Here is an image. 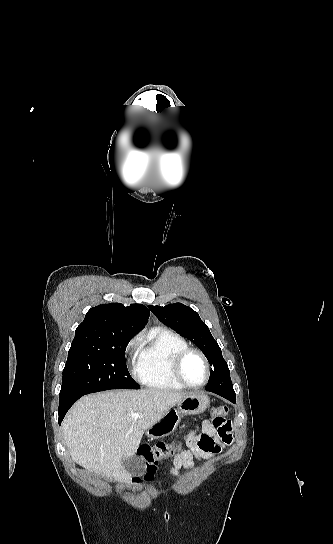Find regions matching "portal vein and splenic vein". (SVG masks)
I'll list each match as a JSON object with an SVG mask.
<instances>
[{
    "label": "portal vein and splenic vein",
    "mask_w": 333,
    "mask_h": 544,
    "mask_svg": "<svg viewBox=\"0 0 333 544\" xmlns=\"http://www.w3.org/2000/svg\"><path fill=\"white\" fill-rule=\"evenodd\" d=\"M139 417H140V414H139V413H134V414L132 415V418L135 419V420L138 419Z\"/></svg>",
    "instance_id": "18ae733b"
}]
</instances>
